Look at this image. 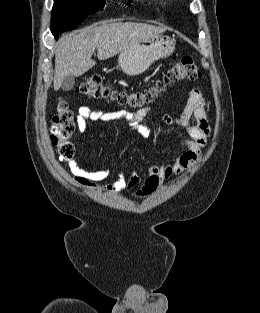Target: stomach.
Instances as JSON below:
<instances>
[{"label":"stomach","instance_id":"1","mask_svg":"<svg viewBox=\"0 0 260 313\" xmlns=\"http://www.w3.org/2000/svg\"><path fill=\"white\" fill-rule=\"evenodd\" d=\"M174 50V39L158 35L123 50L118 63L124 73L136 76L146 71L154 61L169 57Z\"/></svg>","mask_w":260,"mask_h":313}]
</instances>
